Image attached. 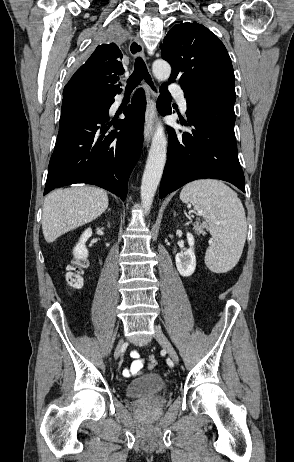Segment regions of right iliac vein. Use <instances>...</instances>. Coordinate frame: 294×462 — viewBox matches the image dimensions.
<instances>
[{
	"mask_svg": "<svg viewBox=\"0 0 294 462\" xmlns=\"http://www.w3.org/2000/svg\"><path fill=\"white\" fill-rule=\"evenodd\" d=\"M123 346H124V340H123V339H120V340L118 341V344H117L116 349H115V352H114V357H115V359H117V358L119 357L120 352H121Z\"/></svg>",
	"mask_w": 294,
	"mask_h": 462,
	"instance_id": "obj_1",
	"label": "right iliac vein"
}]
</instances>
